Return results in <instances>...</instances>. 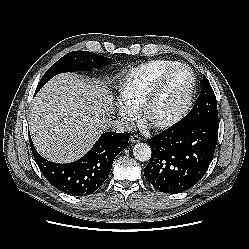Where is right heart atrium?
I'll return each mask as SVG.
<instances>
[{
    "label": "right heart atrium",
    "instance_id": "obj_1",
    "mask_svg": "<svg viewBox=\"0 0 249 249\" xmlns=\"http://www.w3.org/2000/svg\"><path fill=\"white\" fill-rule=\"evenodd\" d=\"M118 113L126 122H131L135 118V112L133 109L127 107L124 104L118 105Z\"/></svg>",
    "mask_w": 249,
    "mask_h": 249
}]
</instances>
